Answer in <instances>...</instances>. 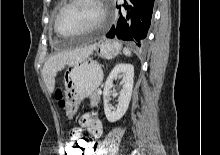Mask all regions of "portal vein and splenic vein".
I'll list each match as a JSON object with an SVG mask.
<instances>
[{"instance_id": "obj_1", "label": "portal vein and splenic vein", "mask_w": 220, "mask_h": 155, "mask_svg": "<svg viewBox=\"0 0 220 155\" xmlns=\"http://www.w3.org/2000/svg\"><path fill=\"white\" fill-rule=\"evenodd\" d=\"M98 94H101V90H98Z\"/></svg>"}]
</instances>
